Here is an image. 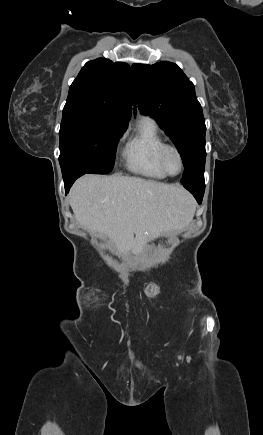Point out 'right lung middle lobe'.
<instances>
[{
	"label": "right lung middle lobe",
	"mask_w": 263,
	"mask_h": 435,
	"mask_svg": "<svg viewBox=\"0 0 263 435\" xmlns=\"http://www.w3.org/2000/svg\"><path fill=\"white\" fill-rule=\"evenodd\" d=\"M125 130L89 111H63L59 132L63 178L75 173L111 172L116 146Z\"/></svg>",
	"instance_id": "obj_1"
}]
</instances>
